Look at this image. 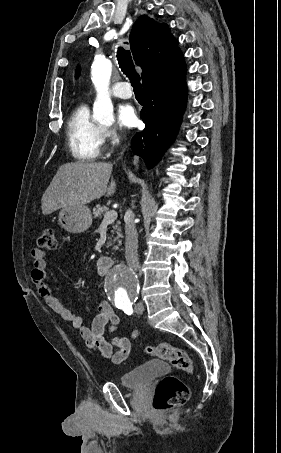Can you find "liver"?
I'll return each instance as SVG.
<instances>
[{
	"instance_id": "1",
	"label": "liver",
	"mask_w": 281,
	"mask_h": 453,
	"mask_svg": "<svg viewBox=\"0 0 281 453\" xmlns=\"http://www.w3.org/2000/svg\"><path fill=\"white\" fill-rule=\"evenodd\" d=\"M111 162H66L59 166L52 182L42 196L43 214H51L63 206H84L100 196H112L116 182L109 178L112 172Z\"/></svg>"
}]
</instances>
